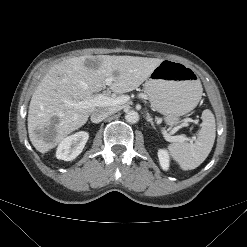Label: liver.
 <instances>
[{
  "instance_id": "liver-1",
  "label": "liver",
  "mask_w": 247,
  "mask_h": 247,
  "mask_svg": "<svg viewBox=\"0 0 247 247\" xmlns=\"http://www.w3.org/2000/svg\"><path fill=\"white\" fill-rule=\"evenodd\" d=\"M162 62V59L84 55L66 59L49 69L32 95L28 111V133L32 145L41 153L54 148L64 137L83 126L96 109L115 106H95L76 109L74 103L92 97L106 87L114 93H127L139 87ZM96 63V65H94ZM52 122L54 135L51 141L37 134L45 132Z\"/></svg>"
}]
</instances>
